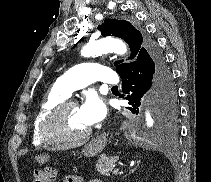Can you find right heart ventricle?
<instances>
[{
    "mask_svg": "<svg viewBox=\"0 0 211 182\" xmlns=\"http://www.w3.org/2000/svg\"><path fill=\"white\" fill-rule=\"evenodd\" d=\"M66 98L67 97L64 94H62L59 90L54 87L47 93V95L40 103V106L34 116L31 130L32 143L35 146H41L46 143L40 135L42 123L46 116L50 113V111L60 102L64 101Z\"/></svg>",
    "mask_w": 211,
    "mask_h": 182,
    "instance_id": "1",
    "label": "right heart ventricle"
}]
</instances>
